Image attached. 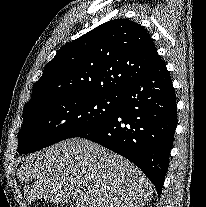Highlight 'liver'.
Segmentation results:
<instances>
[{
	"mask_svg": "<svg viewBox=\"0 0 206 207\" xmlns=\"http://www.w3.org/2000/svg\"><path fill=\"white\" fill-rule=\"evenodd\" d=\"M28 203L36 199L76 207H144L151 182L122 156L84 138H71L25 158L18 170Z\"/></svg>",
	"mask_w": 206,
	"mask_h": 207,
	"instance_id": "obj_1",
	"label": "liver"
}]
</instances>
